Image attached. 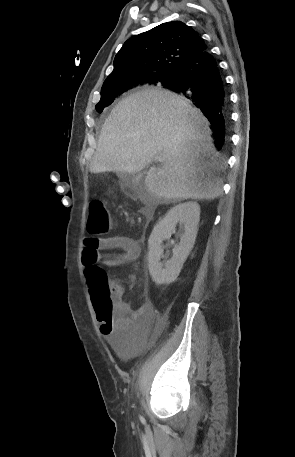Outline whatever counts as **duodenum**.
Segmentation results:
<instances>
[{
    "label": "duodenum",
    "instance_id": "410a0bca",
    "mask_svg": "<svg viewBox=\"0 0 295 457\" xmlns=\"http://www.w3.org/2000/svg\"><path fill=\"white\" fill-rule=\"evenodd\" d=\"M143 215L146 219H150L153 216V211L151 208L147 207L143 210Z\"/></svg>",
    "mask_w": 295,
    "mask_h": 457
}]
</instances>
